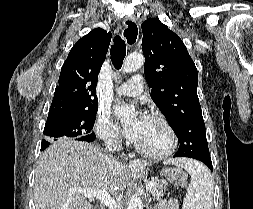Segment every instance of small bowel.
<instances>
[{
    "label": "small bowel",
    "instance_id": "c3829d8e",
    "mask_svg": "<svg viewBox=\"0 0 253 209\" xmlns=\"http://www.w3.org/2000/svg\"><path fill=\"white\" fill-rule=\"evenodd\" d=\"M158 209H178V203L175 199H169L166 202L161 203Z\"/></svg>",
    "mask_w": 253,
    "mask_h": 209
}]
</instances>
